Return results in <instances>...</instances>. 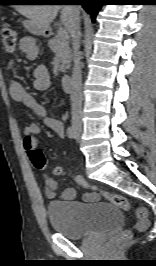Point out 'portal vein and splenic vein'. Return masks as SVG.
I'll list each match as a JSON object with an SVG mask.
<instances>
[{
    "label": "portal vein and splenic vein",
    "mask_w": 156,
    "mask_h": 266,
    "mask_svg": "<svg viewBox=\"0 0 156 266\" xmlns=\"http://www.w3.org/2000/svg\"><path fill=\"white\" fill-rule=\"evenodd\" d=\"M57 34H58V36H60L62 38H65V37H67V30L65 28L60 27L58 29V33Z\"/></svg>",
    "instance_id": "portal-vein-and-splenic-vein-1"
}]
</instances>
